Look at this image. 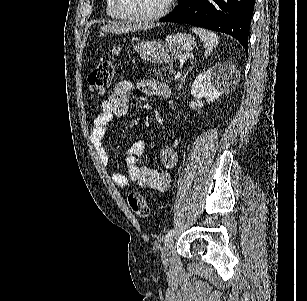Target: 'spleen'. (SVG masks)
Listing matches in <instances>:
<instances>
[{
  "mask_svg": "<svg viewBox=\"0 0 307 301\" xmlns=\"http://www.w3.org/2000/svg\"><path fill=\"white\" fill-rule=\"evenodd\" d=\"M192 30L195 32V34H198L202 42H204V56H209V54L213 52V48H215L219 42L218 34H216V32H212V30H206V28H197V26H194Z\"/></svg>",
  "mask_w": 307,
  "mask_h": 301,
  "instance_id": "spleen-1",
  "label": "spleen"
}]
</instances>
